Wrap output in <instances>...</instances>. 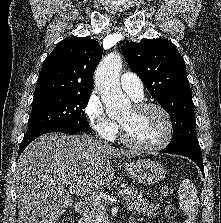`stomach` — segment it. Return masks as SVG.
Returning <instances> with one entry per match:
<instances>
[{
  "instance_id": "1",
  "label": "stomach",
  "mask_w": 221,
  "mask_h": 223,
  "mask_svg": "<svg viewBox=\"0 0 221 223\" xmlns=\"http://www.w3.org/2000/svg\"><path fill=\"white\" fill-rule=\"evenodd\" d=\"M126 172L137 183L152 185L160 182L166 174L164 166L150 159H138L125 163Z\"/></svg>"
}]
</instances>
